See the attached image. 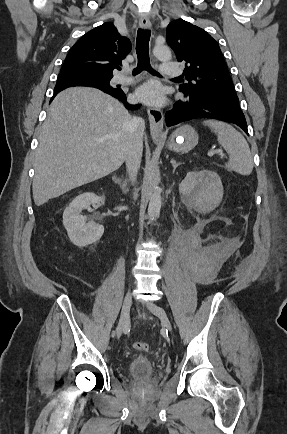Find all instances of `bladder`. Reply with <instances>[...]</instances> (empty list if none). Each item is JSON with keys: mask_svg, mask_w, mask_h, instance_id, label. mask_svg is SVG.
<instances>
[{"mask_svg": "<svg viewBox=\"0 0 287 434\" xmlns=\"http://www.w3.org/2000/svg\"><path fill=\"white\" fill-rule=\"evenodd\" d=\"M155 364L150 357L138 355L127 366V373L131 377L150 376L155 372Z\"/></svg>", "mask_w": 287, "mask_h": 434, "instance_id": "bladder-1", "label": "bladder"}]
</instances>
